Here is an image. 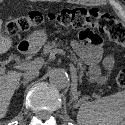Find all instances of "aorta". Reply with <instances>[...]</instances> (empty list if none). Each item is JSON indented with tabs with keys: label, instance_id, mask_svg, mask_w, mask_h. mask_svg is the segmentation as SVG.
<instances>
[{
	"label": "aorta",
	"instance_id": "1",
	"mask_svg": "<svg viewBox=\"0 0 125 125\" xmlns=\"http://www.w3.org/2000/svg\"><path fill=\"white\" fill-rule=\"evenodd\" d=\"M50 84L58 89H64L69 86L68 75L60 69H54L49 77Z\"/></svg>",
	"mask_w": 125,
	"mask_h": 125
}]
</instances>
